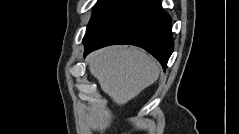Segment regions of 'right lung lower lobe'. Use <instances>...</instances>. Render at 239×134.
<instances>
[{
  "mask_svg": "<svg viewBox=\"0 0 239 134\" xmlns=\"http://www.w3.org/2000/svg\"><path fill=\"white\" fill-rule=\"evenodd\" d=\"M85 55L112 44H132L151 53L166 69L173 52L171 18L160 0H128L87 38Z\"/></svg>",
  "mask_w": 239,
  "mask_h": 134,
  "instance_id": "98d812e1",
  "label": "right lung lower lobe"
}]
</instances>
